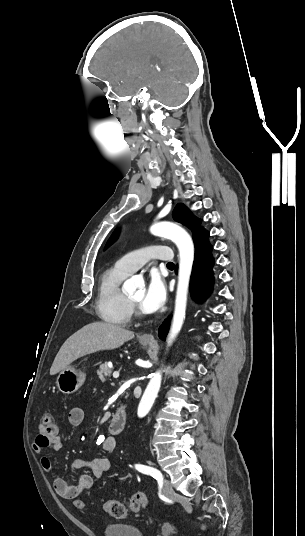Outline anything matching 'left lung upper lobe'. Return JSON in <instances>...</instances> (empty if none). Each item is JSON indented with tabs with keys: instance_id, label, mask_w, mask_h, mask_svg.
<instances>
[{
	"instance_id": "left-lung-upper-lobe-1",
	"label": "left lung upper lobe",
	"mask_w": 305,
	"mask_h": 536,
	"mask_svg": "<svg viewBox=\"0 0 305 536\" xmlns=\"http://www.w3.org/2000/svg\"><path fill=\"white\" fill-rule=\"evenodd\" d=\"M172 216L175 221L185 225L193 232L194 240L206 231L203 227L200 226L201 220L196 218L184 204H178L174 208ZM117 233L118 230L114 231L105 249L108 248L117 239Z\"/></svg>"
}]
</instances>
